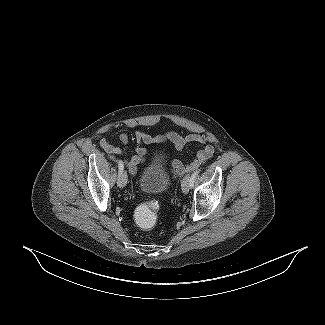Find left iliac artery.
Segmentation results:
<instances>
[{"mask_svg": "<svg viewBox=\"0 0 325 325\" xmlns=\"http://www.w3.org/2000/svg\"><path fill=\"white\" fill-rule=\"evenodd\" d=\"M200 169L196 170L190 177V187H193L194 185V180L195 178L198 176V174L200 173Z\"/></svg>", "mask_w": 325, "mask_h": 325, "instance_id": "44dca946", "label": "left iliac artery"}]
</instances>
